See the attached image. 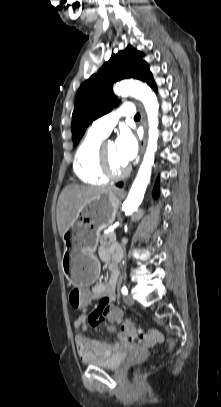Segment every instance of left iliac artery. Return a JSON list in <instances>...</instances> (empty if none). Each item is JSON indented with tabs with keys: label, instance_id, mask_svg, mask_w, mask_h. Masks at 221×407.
Returning a JSON list of instances; mask_svg holds the SVG:
<instances>
[{
	"label": "left iliac artery",
	"instance_id": "obj_1",
	"mask_svg": "<svg viewBox=\"0 0 221 407\" xmlns=\"http://www.w3.org/2000/svg\"><path fill=\"white\" fill-rule=\"evenodd\" d=\"M121 293H122L123 295H127V294H128V289H127L125 286H123V287L121 288Z\"/></svg>",
	"mask_w": 221,
	"mask_h": 407
}]
</instances>
